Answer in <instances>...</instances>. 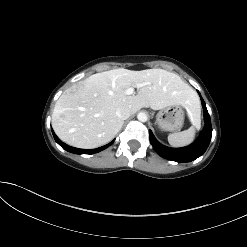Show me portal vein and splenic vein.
Returning <instances> with one entry per match:
<instances>
[{
  "label": "portal vein and splenic vein",
  "mask_w": 247,
  "mask_h": 247,
  "mask_svg": "<svg viewBox=\"0 0 247 247\" xmlns=\"http://www.w3.org/2000/svg\"><path fill=\"white\" fill-rule=\"evenodd\" d=\"M145 85H146V83H139V84L136 85V87L139 89V88H141V87H143ZM124 93L126 95H132L134 93V88L133 87H130V88L126 89L124 91Z\"/></svg>",
  "instance_id": "1"
}]
</instances>
